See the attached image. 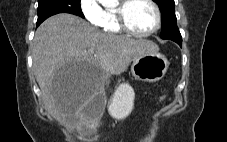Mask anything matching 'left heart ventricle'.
Wrapping results in <instances>:
<instances>
[{
    "instance_id": "left-heart-ventricle-1",
    "label": "left heart ventricle",
    "mask_w": 227,
    "mask_h": 142,
    "mask_svg": "<svg viewBox=\"0 0 227 142\" xmlns=\"http://www.w3.org/2000/svg\"><path fill=\"white\" fill-rule=\"evenodd\" d=\"M127 20L137 32H148L156 24V14L146 0H134L127 9Z\"/></svg>"
}]
</instances>
